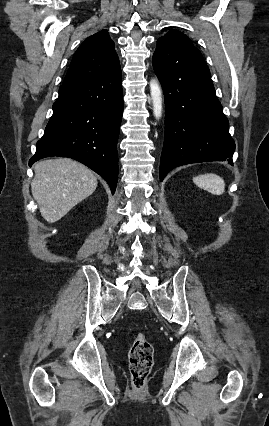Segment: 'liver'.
<instances>
[{"instance_id": "liver-1", "label": "liver", "mask_w": 269, "mask_h": 426, "mask_svg": "<svg viewBox=\"0 0 269 426\" xmlns=\"http://www.w3.org/2000/svg\"><path fill=\"white\" fill-rule=\"evenodd\" d=\"M32 195L43 218L54 223L97 188V177L85 165L69 158L46 159L34 167Z\"/></svg>"}]
</instances>
